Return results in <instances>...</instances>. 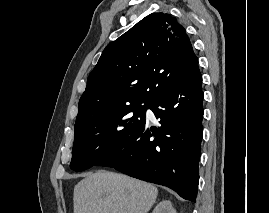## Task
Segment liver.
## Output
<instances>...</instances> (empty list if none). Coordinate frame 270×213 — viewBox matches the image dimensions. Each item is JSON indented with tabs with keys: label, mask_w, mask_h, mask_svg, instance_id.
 I'll use <instances>...</instances> for the list:
<instances>
[{
	"label": "liver",
	"mask_w": 270,
	"mask_h": 213,
	"mask_svg": "<svg viewBox=\"0 0 270 213\" xmlns=\"http://www.w3.org/2000/svg\"><path fill=\"white\" fill-rule=\"evenodd\" d=\"M157 195L155 186L123 174L89 173L74 187V213H147Z\"/></svg>",
	"instance_id": "liver-1"
}]
</instances>
